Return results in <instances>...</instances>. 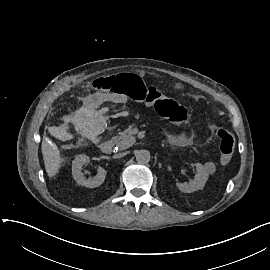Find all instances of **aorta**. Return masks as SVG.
Instances as JSON below:
<instances>
[{
	"label": "aorta",
	"mask_w": 270,
	"mask_h": 270,
	"mask_svg": "<svg viewBox=\"0 0 270 270\" xmlns=\"http://www.w3.org/2000/svg\"><path fill=\"white\" fill-rule=\"evenodd\" d=\"M136 160L140 164H147L150 161V153L147 150H138Z\"/></svg>",
	"instance_id": "762f6f07"
}]
</instances>
